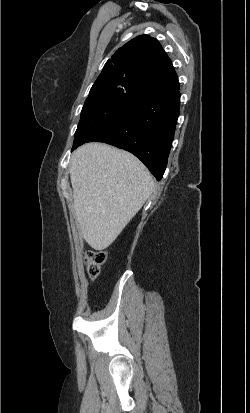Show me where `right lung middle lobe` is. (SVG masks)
<instances>
[{
  "label": "right lung middle lobe",
  "instance_id": "right-lung-middle-lobe-1",
  "mask_svg": "<svg viewBox=\"0 0 250 413\" xmlns=\"http://www.w3.org/2000/svg\"><path fill=\"white\" fill-rule=\"evenodd\" d=\"M139 96L141 94L138 91L128 88H91L82 108L72 151L106 127L129 101Z\"/></svg>",
  "mask_w": 250,
  "mask_h": 413
}]
</instances>
